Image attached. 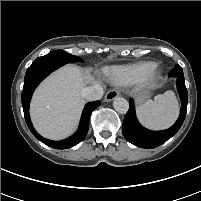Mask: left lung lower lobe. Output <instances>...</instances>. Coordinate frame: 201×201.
Masks as SVG:
<instances>
[{
    "label": "left lung lower lobe",
    "instance_id": "0a47b994",
    "mask_svg": "<svg viewBox=\"0 0 201 201\" xmlns=\"http://www.w3.org/2000/svg\"><path fill=\"white\" fill-rule=\"evenodd\" d=\"M169 76L176 78V86L182 101L180 115L176 123L169 129L151 131L142 127L136 119L134 102L129 100V110L124 118L122 133L127 141L140 148L152 149L163 144L174 136L182 126L188 103V93L184 82L183 70L180 65H175Z\"/></svg>",
    "mask_w": 201,
    "mask_h": 201
}]
</instances>
